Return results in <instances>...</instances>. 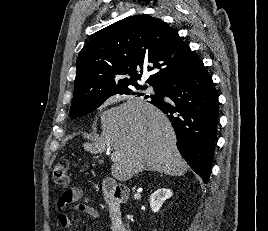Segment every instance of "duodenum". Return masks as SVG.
<instances>
[{"instance_id": "1", "label": "duodenum", "mask_w": 268, "mask_h": 231, "mask_svg": "<svg viewBox=\"0 0 268 231\" xmlns=\"http://www.w3.org/2000/svg\"><path fill=\"white\" fill-rule=\"evenodd\" d=\"M102 193L109 205V215L113 223V231H126L120 204L121 201L128 198L126 190L119 187L115 181L106 179L102 185Z\"/></svg>"}]
</instances>
